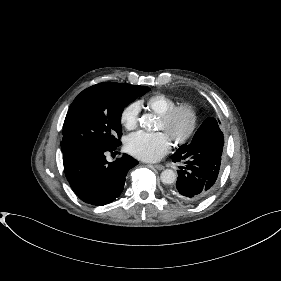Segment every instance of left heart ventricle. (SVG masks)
<instances>
[{
  "label": "left heart ventricle",
  "instance_id": "obj_1",
  "mask_svg": "<svg viewBox=\"0 0 281 281\" xmlns=\"http://www.w3.org/2000/svg\"><path fill=\"white\" fill-rule=\"evenodd\" d=\"M188 124V116L186 114H179L167 125L159 120L158 130L164 131L168 135L170 140H173L186 131Z\"/></svg>",
  "mask_w": 281,
  "mask_h": 281
}]
</instances>
